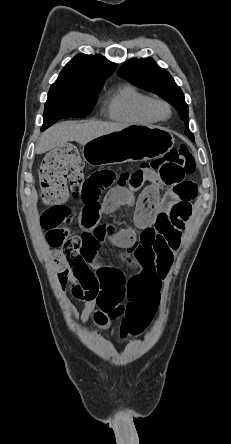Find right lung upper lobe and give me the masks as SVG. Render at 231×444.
<instances>
[{"label": "right lung upper lobe", "instance_id": "obj_1", "mask_svg": "<svg viewBox=\"0 0 231 444\" xmlns=\"http://www.w3.org/2000/svg\"><path fill=\"white\" fill-rule=\"evenodd\" d=\"M116 64L100 54H78L60 72L50 90H100L105 79L115 70Z\"/></svg>", "mask_w": 231, "mask_h": 444}]
</instances>
